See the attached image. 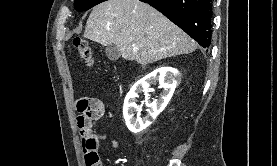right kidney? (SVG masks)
Wrapping results in <instances>:
<instances>
[{"mask_svg": "<svg viewBox=\"0 0 277 166\" xmlns=\"http://www.w3.org/2000/svg\"><path fill=\"white\" fill-rule=\"evenodd\" d=\"M176 76V70L172 68H159L133 85L124 100L123 107V116L126 125L131 132H141L151 124V119H155L164 110L174 93ZM155 81H159L160 87L163 88V93L160 99L148 103V98H146V105L151 108V110H149L146 117H138L135 119L134 111L138 108L136 104L138 94L143 91L145 95H147L150 90V84Z\"/></svg>", "mask_w": 277, "mask_h": 166, "instance_id": "1", "label": "right kidney"}]
</instances>
